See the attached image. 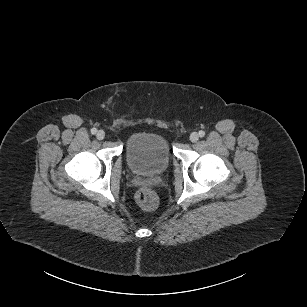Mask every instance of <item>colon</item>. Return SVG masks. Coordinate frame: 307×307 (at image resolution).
Here are the masks:
<instances>
[{
  "label": "colon",
  "mask_w": 307,
  "mask_h": 307,
  "mask_svg": "<svg viewBox=\"0 0 307 307\" xmlns=\"http://www.w3.org/2000/svg\"><path fill=\"white\" fill-rule=\"evenodd\" d=\"M136 200L139 206L145 211L155 210L158 206V197L149 188L140 189L136 194Z\"/></svg>",
  "instance_id": "5ec220e1"
}]
</instances>
